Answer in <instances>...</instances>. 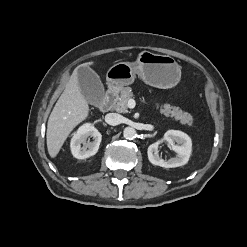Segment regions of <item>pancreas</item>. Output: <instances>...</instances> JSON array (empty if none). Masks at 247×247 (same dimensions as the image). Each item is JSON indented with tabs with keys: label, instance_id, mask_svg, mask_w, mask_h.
Masks as SVG:
<instances>
[{
	"label": "pancreas",
	"instance_id": "obj_1",
	"mask_svg": "<svg viewBox=\"0 0 247 247\" xmlns=\"http://www.w3.org/2000/svg\"><path fill=\"white\" fill-rule=\"evenodd\" d=\"M133 97V93L130 87H125L120 92V98L117 104L114 106V109L120 113H127L128 105L127 102L129 99ZM156 108H160V113L165 115L166 117H171L177 121H180L182 125L191 126L193 123V117L184 112L182 109L176 106H171L170 104L159 105V103H155Z\"/></svg>",
	"mask_w": 247,
	"mask_h": 247
}]
</instances>
